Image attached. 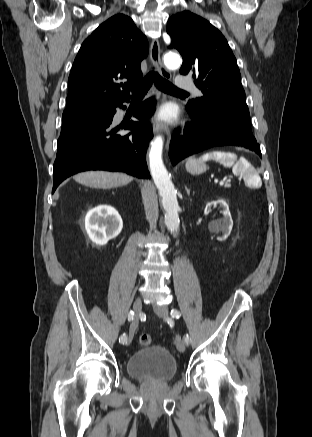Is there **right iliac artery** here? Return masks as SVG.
<instances>
[{
    "mask_svg": "<svg viewBox=\"0 0 312 437\" xmlns=\"http://www.w3.org/2000/svg\"><path fill=\"white\" fill-rule=\"evenodd\" d=\"M128 319L129 320H133L134 319V312L133 311H130L129 312V314H128ZM119 342L120 343H126L127 342V335L124 333L123 335H121L120 336V338H119Z\"/></svg>",
    "mask_w": 312,
    "mask_h": 437,
    "instance_id": "1",
    "label": "right iliac artery"
}]
</instances>
